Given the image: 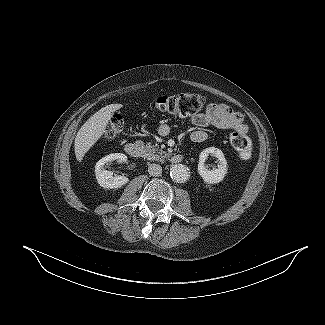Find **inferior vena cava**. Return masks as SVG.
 I'll return each instance as SVG.
<instances>
[{
    "label": "inferior vena cava",
    "instance_id": "obj_1",
    "mask_svg": "<svg viewBox=\"0 0 325 325\" xmlns=\"http://www.w3.org/2000/svg\"><path fill=\"white\" fill-rule=\"evenodd\" d=\"M148 173L151 176H160L162 174V167L159 164L152 163L148 166Z\"/></svg>",
    "mask_w": 325,
    "mask_h": 325
}]
</instances>
